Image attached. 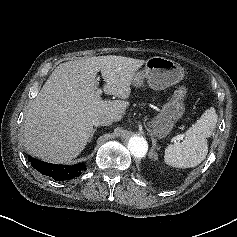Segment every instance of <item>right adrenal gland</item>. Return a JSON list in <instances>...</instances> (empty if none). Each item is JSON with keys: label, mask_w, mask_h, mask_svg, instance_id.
<instances>
[{"label": "right adrenal gland", "mask_w": 237, "mask_h": 237, "mask_svg": "<svg viewBox=\"0 0 237 237\" xmlns=\"http://www.w3.org/2000/svg\"><path fill=\"white\" fill-rule=\"evenodd\" d=\"M95 132H96V128L93 129V131H92V133H91V135H90V138H89V141H88V142H91V140H92L93 135H94Z\"/></svg>", "instance_id": "right-adrenal-gland-1"}]
</instances>
